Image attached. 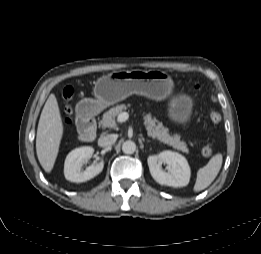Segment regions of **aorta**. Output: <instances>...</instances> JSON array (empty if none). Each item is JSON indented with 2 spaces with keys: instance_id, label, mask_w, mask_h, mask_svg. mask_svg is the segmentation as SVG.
I'll return each mask as SVG.
<instances>
[{
  "instance_id": "aorta-1",
  "label": "aorta",
  "mask_w": 261,
  "mask_h": 254,
  "mask_svg": "<svg viewBox=\"0 0 261 254\" xmlns=\"http://www.w3.org/2000/svg\"><path fill=\"white\" fill-rule=\"evenodd\" d=\"M135 150H136V144L131 140L125 141L122 144V151L125 154H133Z\"/></svg>"
}]
</instances>
